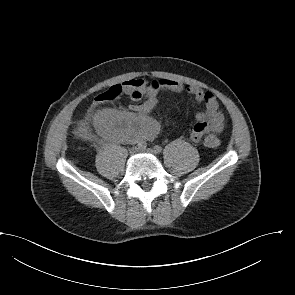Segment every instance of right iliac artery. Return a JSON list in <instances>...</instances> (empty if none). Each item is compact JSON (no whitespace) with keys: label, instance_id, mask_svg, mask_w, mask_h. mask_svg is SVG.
I'll use <instances>...</instances> for the list:
<instances>
[{"label":"right iliac artery","instance_id":"1","mask_svg":"<svg viewBox=\"0 0 295 295\" xmlns=\"http://www.w3.org/2000/svg\"><path fill=\"white\" fill-rule=\"evenodd\" d=\"M142 147H145V143L144 142H139L138 146L136 147L138 150H140Z\"/></svg>","mask_w":295,"mask_h":295}]
</instances>
